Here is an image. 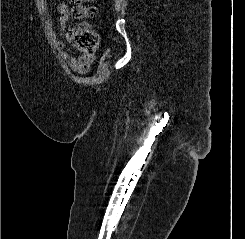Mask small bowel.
<instances>
[{
	"mask_svg": "<svg viewBox=\"0 0 245 239\" xmlns=\"http://www.w3.org/2000/svg\"><path fill=\"white\" fill-rule=\"evenodd\" d=\"M59 13L58 22L64 31L67 23L70 20V14L68 12V6L64 3H60L57 6ZM59 46L62 50V56L69 64L70 68L80 74H85L90 71L92 63L96 60L95 54L83 55L81 57H73L68 51L64 50V44L59 42Z\"/></svg>",
	"mask_w": 245,
	"mask_h": 239,
	"instance_id": "c3829d8e",
	"label": "small bowel"
}]
</instances>
